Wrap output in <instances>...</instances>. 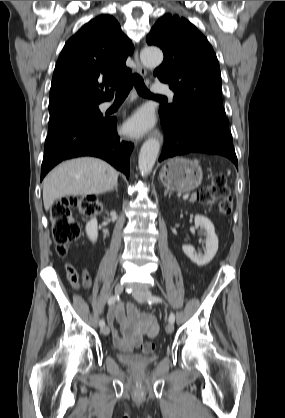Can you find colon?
I'll return each mask as SVG.
<instances>
[{
  "label": "colon",
  "mask_w": 285,
  "mask_h": 418,
  "mask_svg": "<svg viewBox=\"0 0 285 418\" xmlns=\"http://www.w3.org/2000/svg\"><path fill=\"white\" fill-rule=\"evenodd\" d=\"M197 200L203 206H210L218 201L219 212L223 215L229 214L232 210L231 194L226 186L225 177L221 174L215 175L209 186L197 192ZM98 211V205L86 197L65 196L55 202L51 211V224L58 255L65 256L69 246L80 235V227L74 220L75 214L82 212L86 216H91ZM155 348V344L150 341L142 345L144 353L154 352Z\"/></svg>",
  "instance_id": "colon-1"
}]
</instances>
